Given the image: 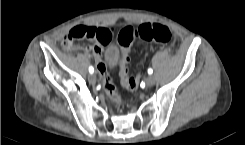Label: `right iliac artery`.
<instances>
[{"label": "right iliac artery", "instance_id": "1", "mask_svg": "<svg viewBox=\"0 0 245 145\" xmlns=\"http://www.w3.org/2000/svg\"><path fill=\"white\" fill-rule=\"evenodd\" d=\"M89 72L92 74L94 72V68L92 66L89 67Z\"/></svg>", "mask_w": 245, "mask_h": 145}]
</instances>
